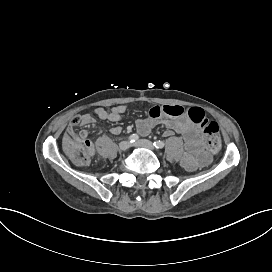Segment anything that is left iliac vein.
I'll return each instance as SVG.
<instances>
[{"label":"left iliac vein","instance_id":"4c4485c4","mask_svg":"<svg viewBox=\"0 0 272 272\" xmlns=\"http://www.w3.org/2000/svg\"><path fill=\"white\" fill-rule=\"evenodd\" d=\"M134 146L144 147V148H147V149H150V150L155 149L154 144L151 141L146 140V139H141V140L137 141L136 143H134Z\"/></svg>","mask_w":272,"mask_h":272}]
</instances>
